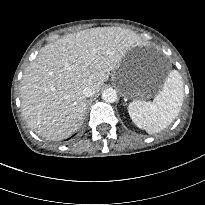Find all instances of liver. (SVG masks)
Returning <instances> with one entry per match:
<instances>
[{
	"instance_id": "liver-1",
	"label": "liver",
	"mask_w": 205,
	"mask_h": 205,
	"mask_svg": "<svg viewBox=\"0 0 205 205\" xmlns=\"http://www.w3.org/2000/svg\"><path fill=\"white\" fill-rule=\"evenodd\" d=\"M136 42L132 31L97 27L42 47L20 85L22 113L29 127L50 140L71 136L87 109L83 89L90 85L99 92Z\"/></svg>"
}]
</instances>
